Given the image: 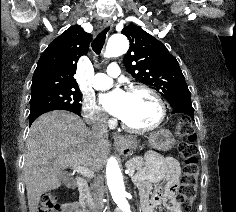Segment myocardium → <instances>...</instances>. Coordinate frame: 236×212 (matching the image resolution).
I'll use <instances>...</instances> for the list:
<instances>
[{
  "label": "myocardium",
  "instance_id": "myocardium-1",
  "mask_svg": "<svg viewBox=\"0 0 236 212\" xmlns=\"http://www.w3.org/2000/svg\"><path fill=\"white\" fill-rule=\"evenodd\" d=\"M135 91H144V92L148 93L149 95H151L155 99V101L159 107L158 118L151 125H149L147 127H143V128L131 127L125 121L120 119L121 126L127 132L134 133V134H143V133L153 131L161 125V123L164 121V119L166 117V113H167L166 104H165L163 98L161 97V95L156 90H154L153 88H151L145 84H133L128 89V93H132Z\"/></svg>",
  "mask_w": 236,
  "mask_h": 212
}]
</instances>
